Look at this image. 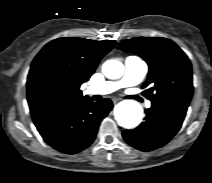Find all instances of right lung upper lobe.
Masks as SVG:
<instances>
[{"mask_svg":"<svg viewBox=\"0 0 212 183\" xmlns=\"http://www.w3.org/2000/svg\"><path fill=\"white\" fill-rule=\"evenodd\" d=\"M116 41L64 37L46 44L31 64L27 100L31 113L55 102L88 101L79 89Z\"/></svg>","mask_w":212,"mask_h":183,"instance_id":"1","label":"right lung upper lobe"}]
</instances>
